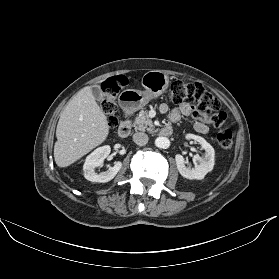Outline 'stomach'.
<instances>
[{"label": "stomach", "mask_w": 279, "mask_h": 279, "mask_svg": "<svg viewBox=\"0 0 279 279\" xmlns=\"http://www.w3.org/2000/svg\"><path fill=\"white\" fill-rule=\"evenodd\" d=\"M144 91L127 89L119 95V104L123 111L134 113L150 100L159 97L169 86V77L159 70L149 71L141 79Z\"/></svg>", "instance_id": "stomach-1"}]
</instances>
